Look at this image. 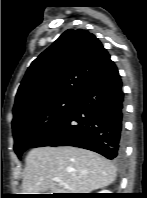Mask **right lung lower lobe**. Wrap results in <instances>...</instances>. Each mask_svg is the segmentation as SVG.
Returning <instances> with one entry per match:
<instances>
[{"instance_id": "obj_1", "label": "right lung lower lobe", "mask_w": 147, "mask_h": 198, "mask_svg": "<svg viewBox=\"0 0 147 198\" xmlns=\"http://www.w3.org/2000/svg\"><path fill=\"white\" fill-rule=\"evenodd\" d=\"M122 82L114 62L76 99L72 109L32 147L75 146L108 159L123 155Z\"/></svg>"}]
</instances>
